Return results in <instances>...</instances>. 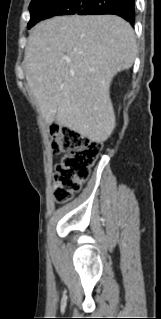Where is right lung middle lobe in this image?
<instances>
[{
  "label": "right lung middle lobe",
  "mask_w": 161,
  "mask_h": 319,
  "mask_svg": "<svg viewBox=\"0 0 161 319\" xmlns=\"http://www.w3.org/2000/svg\"><path fill=\"white\" fill-rule=\"evenodd\" d=\"M90 0H32L29 6L31 18L28 29L41 20L57 15H73L83 9Z\"/></svg>",
  "instance_id": "right-lung-middle-lobe-1"
}]
</instances>
